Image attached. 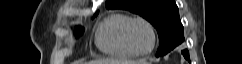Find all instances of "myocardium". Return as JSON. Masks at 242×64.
<instances>
[{
	"mask_svg": "<svg viewBox=\"0 0 242 64\" xmlns=\"http://www.w3.org/2000/svg\"><path fill=\"white\" fill-rule=\"evenodd\" d=\"M137 22H142L143 24H145L150 32H151V35H152V46L149 50L147 51H144V52H141V51H138L132 41H131V38H130V30H131V27L133 26V24L137 23ZM124 40H125V43L127 45V47L137 56H146V55H149L150 53L153 52V50L155 49L156 47V44H157V32H156V29L154 27V25L146 18L144 17H141V16H137V17H132L129 22L127 23L125 29H124Z\"/></svg>",
	"mask_w": 242,
	"mask_h": 64,
	"instance_id": "f54148a6",
	"label": "myocardium"
}]
</instances>
